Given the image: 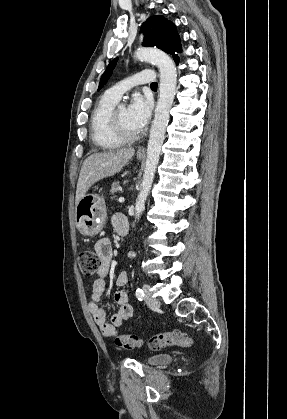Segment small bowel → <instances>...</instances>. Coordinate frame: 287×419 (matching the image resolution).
Instances as JSON below:
<instances>
[{
	"mask_svg": "<svg viewBox=\"0 0 287 419\" xmlns=\"http://www.w3.org/2000/svg\"><path fill=\"white\" fill-rule=\"evenodd\" d=\"M112 222L116 230L122 224H128L127 219L122 215L114 216ZM94 249L101 259V266L98 270V277L93 284L92 300L88 308L102 334L104 336L115 337L124 322L133 316L134 309L129 301L128 293L117 291L114 294V300L118 305V310L112 315L110 322L107 320L106 312L99 305V302L106 295L107 291L105 276L109 271L112 259L111 242L108 238H102L96 242ZM128 280V272L122 271L119 273L116 283L118 286H123L127 284Z\"/></svg>",
	"mask_w": 287,
	"mask_h": 419,
	"instance_id": "1",
	"label": "small bowel"
}]
</instances>
